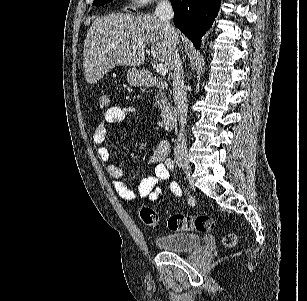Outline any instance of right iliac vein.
<instances>
[{"mask_svg": "<svg viewBox=\"0 0 307 301\" xmlns=\"http://www.w3.org/2000/svg\"><path fill=\"white\" fill-rule=\"evenodd\" d=\"M176 162H177L178 166L183 169V171L185 172V174L187 176L191 175V167H190V164H189L187 157H185L183 155L177 156Z\"/></svg>", "mask_w": 307, "mask_h": 301, "instance_id": "1", "label": "right iliac vein"}]
</instances>
